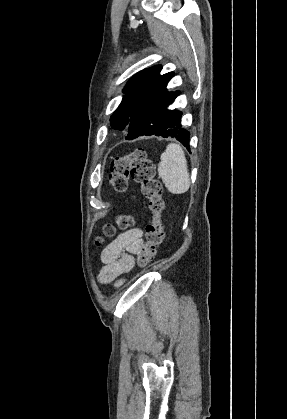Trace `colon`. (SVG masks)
Wrapping results in <instances>:
<instances>
[{
    "instance_id": "colon-1",
    "label": "colon",
    "mask_w": 287,
    "mask_h": 419,
    "mask_svg": "<svg viewBox=\"0 0 287 419\" xmlns=\"http://www.w3.org/2000/svg\"><path fill=\"white\" fill-rule=\"evenodd\" d=\"M140 186L141 193L149 202L152 218L146 226V243L137 253V263L139 266H146L154 260L157 254V247L163 240V226L161 222V211L164 208L162 197V185L155 178V166L148 159L146 152L138 148L130 154L115 158L110 165L109 182L117 192H125L128 186V178ZM133 223L130 216H121L118 219V226L122 229L129 227ZM115 233V228L111 224L103 227V234L111 237ZM102 238L96 240V245H102Z\"/></svg>"
}]
</instances>
